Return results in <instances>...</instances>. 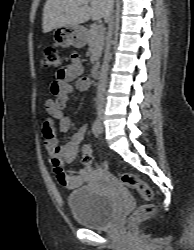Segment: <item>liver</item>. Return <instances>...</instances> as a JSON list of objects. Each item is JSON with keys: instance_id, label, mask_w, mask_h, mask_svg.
Returning a JSON list of instances; mask_svg holds the SVG:
<instances>
[{"instance_id": "6515ba94", "label": "liver", "mask_w": 194, "mask_h": 250, "mask_svg": "<svg viewBox=\"0 0 194 250\" xmlns=\"http://www.w3.org/2000/svg\"><path fill=\"white\" fill-rule=\"evenodd\" d=\"M113 2V0H47L43 10V32L79 25L90 18L93 20L103 18L106 21Z\"/></svg>"}]
</instances>
